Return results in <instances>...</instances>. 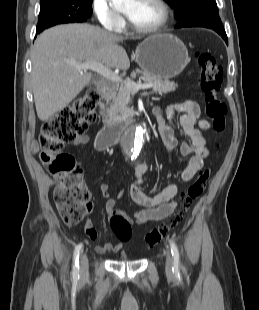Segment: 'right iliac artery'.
I'll return each mask as SVG.
<instances>
[{"mask_svg":"<svg viewBox=\"0 0 259 310\" xmlns=\"http://www.w3.org/2000/svg\"><path fill=\"white\" fill-rule=\"evenodd\" d=\"M82 250V244L76 246L73 254V269H72V277L74 281L79 279V256Z\"/></svg>","mask_w":259,"mask_h":310,"instance_id":"right-iliac-artery-1","label":"right iliac artery"}]
</instances>
